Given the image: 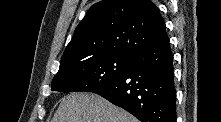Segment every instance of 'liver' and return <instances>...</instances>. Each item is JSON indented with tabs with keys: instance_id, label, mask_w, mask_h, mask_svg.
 I'll list each match as a JSON object with an SVG mask.
<instances>
[{
	"instance_id": "6515ba94",
	"label": "liver",
	"mask_w": 221,
	"mask_h": 122,
	"mask_svg": "<svg viewBox=\"0 0 221 122\" xmlns=\"http://www.w3.org/2000/svg\"><path fill=\"white\" fill-rule=\"evenodd\" d=\"M52 122H137V119L97 94L75 92L61 99Z\"/></svg>"
}]
</instances>
